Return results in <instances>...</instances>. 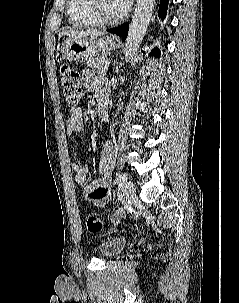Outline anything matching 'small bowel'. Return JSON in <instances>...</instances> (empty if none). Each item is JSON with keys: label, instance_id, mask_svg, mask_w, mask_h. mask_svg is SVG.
<instances>
[{"label": "small bowel", "instance_id": "obj_1", "mask_svg": "<svg viewBox=\"0 0 239 303\" xmlns=\"http://www.w3.org/2000/svg\"><path fill=\"white\" fill-rule=\"evenodd\" d=\"M83 83L89 91L97 94L98 102L104 105L108 99V88L105 81L93 75L89 71L82 73ZM84 128L83 114L81 110L70 113L66 121L68 135L79 133ZM115 151L110 140L104 142L99 162V172L101 177L90 184H86L89 169L86 165L75 163L72 170L75 174V181L83 187L84 199L93 202L98 206H104L111 197L112 170L114 166Z\"/></svg>", "mask_w": 239, "mask_h": 303}]
</instances>
